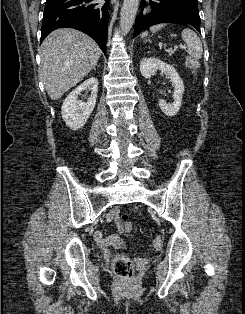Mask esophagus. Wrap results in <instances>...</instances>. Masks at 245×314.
<instances>
[{"instance_id":"1","label":"esophagus","mask_w":245,"mask_h":314,"mask_svg":"<svg viewBox=\"0 0 245 314\" xmlns=\"http://www.w3.org/2000/svg\"><path fill=\"white\" fill-rule=\"evenodd\" d=\"M115 2H116V0H111V3H112V4H115Z\"/></svg>"}]
</instances>
